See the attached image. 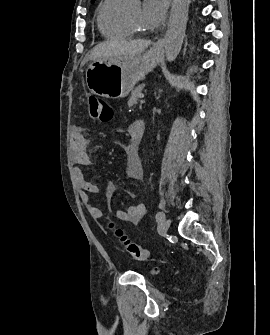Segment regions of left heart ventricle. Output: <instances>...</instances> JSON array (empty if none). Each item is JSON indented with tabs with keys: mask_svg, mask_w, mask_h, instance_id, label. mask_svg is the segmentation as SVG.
<instances>
[{
	"mask_svg": "<svg viewBox=\"0 0 270 335\" xmlns=\"http://www.w3.org/2000/svg\"><path fill=\"white\" fill-rule=\"evenodd\" d=\"M126 18L137 29L140 28L141 9L134 10Z\"/></svg>",
	"mask_w": 270,
	"mask_h": 335,
	"instance_id": "1",
	"label": "left heart ventricle"
}]
</instances>
